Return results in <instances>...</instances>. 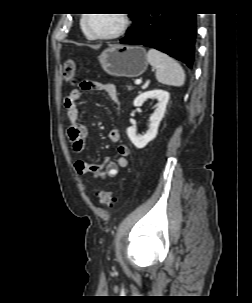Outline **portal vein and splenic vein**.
<instances>
[{
	"label": "portal vein and splenic vein",
	"mask_w": 252,
	"mask_h": 303,
	"mask_svg": "<svg viewBox=\"0 0 252 303\" xmlns=\"http://www.w3.org/2000/svg\"><path fill=\"white\" fill-rule=\"evenodd\" d=\"M141 82H142L141 79H137V80L135 81V84H136V85H139V84H141Z\"/></svg>",
	"instance_id": "portal-vein-and-splenic-vein-1"
}]
</instances>
